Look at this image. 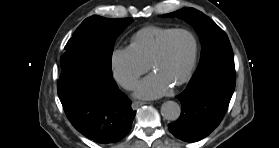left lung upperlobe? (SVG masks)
<instances>
[{
  "instance_id": "5c2ea615",
  "label": "left lung upper lobe",
  "mask_w": 279,
  "mask_h": 148,
  "mask_svg": "<svg viewBox=\"0 0 279 148\" xmlns=\"http://www.w3.org/2000/svg\"><path fill=\"white\" fill-rule=\"evenodd\" d=\"M167 16L184 18L199 34L202 50L197 72L217 61L234 60L232 47L226 33L202 12L194 8H183L167 14Z\"/></svg>"
}]
</instances>
